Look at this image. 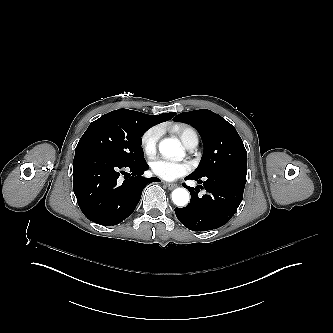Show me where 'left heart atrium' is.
<instances>
[{"instance_id": "left-heart-atrium-1", "label": "left heart atrium", "mask_w": 333, "mask_h": 333, "mask_svg": "<svg viewBox=\"0 0 333 333\" xmlns=\"http://www.w3.org/2000/svg\"><path fill=\"white\" fill-rule=\"evenodd\" d=\"M191 165L188 162H171L158 160L153 165V172L166 180H175L189 174Z\"/></svg>"}]
</instances>
